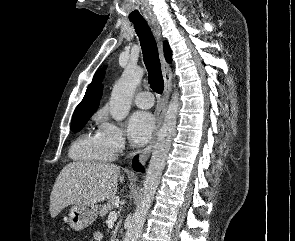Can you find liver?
<instances>
[{"mask_svg":"<svg viewBox=\"0 0 295 241\" xmlns=\"http://www.w3.org/2000/svg\"><path fill=\"white\" fill-rule=\"evenodd\" d=\"M118 180L124 182L120 167L101 162H73L58 175L50 196L54 218L68 205H94L114 198Z\"/></svg>","mask_w":295,"mask_h":241,"instance_id":"liver-1","label":"liver"}]
</instances>
